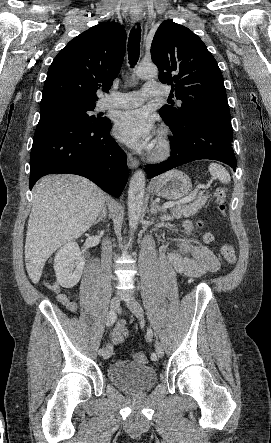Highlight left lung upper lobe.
Wrapping results in <instances>:
<instances>
[{"label":"left lung upper lobe","mask_w":271,"mask_h":443,"mask_svg":"<svg viewBox=\"0 0 271 443\" xmlns=\"http://www.w3.org/2000/svg\"><path fill=\"white\" fill-rule=\"evenodd\" d=\"M151 58L159 69L160 81L171 85L176 98L183 102L179 107L165 105L159 110L167 125L188 120L201 108L229 112L221 70L190 29L164 21L154 35Z\"/></svg>","instance_id":"5c2ea615"}]
</instances>
